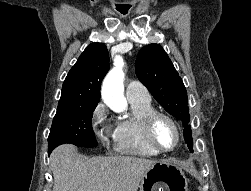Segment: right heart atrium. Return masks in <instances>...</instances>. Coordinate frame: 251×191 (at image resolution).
<instances>
[{
  "instance_id": "1",
  "label": "right heart atrium",
  "mask_w": 251,
  "mask_h": 191,
  "mask_svg": "<svg viewBox=\"0 0 251 191\" xmlns=\"http://www.w3.org/2000/svg\"><path fill=\"white\" fill-rule=\"evenodd\" d=\"M90 129L104 148H109L115 142V133L109 120L108 109L102 101L98 102L91 112Z\"/></svg>"
}]
</instances>
